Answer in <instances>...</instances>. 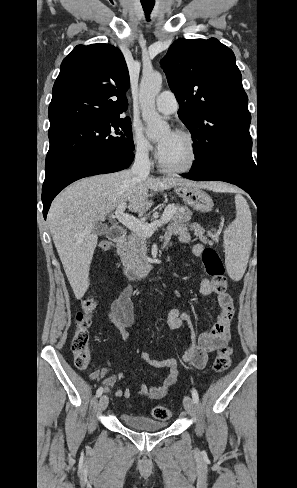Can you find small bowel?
I'll use <instances>...</instances> for the list:
<instances>
[{
	"instance_id": "obj_1",
	"label": "small bowel",
	"mask_w": 297,
	"mask_h": 488,
	"mask_svg": "<svg viewBox=\"0 0 297 488\" xmlns=\"http://www.w3.org/2000/svg\"><path fill=\"white\" fill-rule=\"evenodd\" d=\"M174 237L181 243H191L192 234L188 227L184 225L170 226L164 236L165 243H169ZM204 245L196 243L192 246V253L195 256H201L204 252ZM200 292L204 295L215 292L212 283L207 278L200 282ZM133 287H125L118 297L112 302L110 312L107 318L119 330L123 340L127 341L129 334L127 328L134 322V312L131 297ZM234 311L232 298L228 293H218L216 304V320L212 327L204 331L196 340L195 329L191 323L190 317L182 312L179 308H174L168 313L167 321L171 328L188 330L192 341L187 347L183 361L194 369H203L208 362L209 353L214 351L221 344L226 343L230 336V321ZM141 360L152 368H167L168 373L162 385H150L140 383L138 395L149 399H161L170 391L178 378V364L175 359L158 360L151 357L148 353H142ZM121 372H114L111 368H102L90 375V379L97 381L103 379L102 388L109 391L117 381L124 379ZM115 396L118 398L128 399L130 390L121 387L116 390Z\"/></svg>"
}]
</instances>
